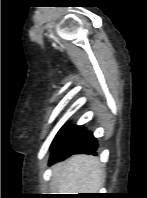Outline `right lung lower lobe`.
Masks as SVG:
<instances>
[{"label": "right lung lower lobe", "instance_id": "98d812e1", "mask_svg": "<svg viewBox=\"0 0 147 198\" xmlns=\"http://www.w3.org/2000/svg\"><path fill=\"white\" fill-rule=\"evenodd\" d=\"M97 147L96 138L82 126L63 127L53 140L50 162L62 161L73 154H96Z\"/></svg>", "mask_w": 147, "mask_h": 198}]
</instances>
